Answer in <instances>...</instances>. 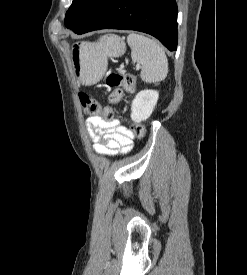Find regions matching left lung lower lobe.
I'll return each mask as SVG.
<instances>
[{
    "mask_svg": "<svg viewBox=\"0 0 247 275\" xmlns=\"http://www.w3.org/2000/svg\"><path fill=\"white\" fill-rule=\"evenodd\" d=\"M99 29H124L148 33L170 51L177 48L175 0H102L84 24L73 30L83 34Z\"/></svg>",
    "mask_w": 247,
    "mask_h": 275,
    "instance_id": "obj_1",
    "label": "left lung lower lobe"
}]
</instances>
